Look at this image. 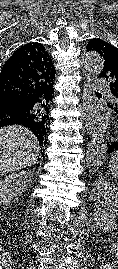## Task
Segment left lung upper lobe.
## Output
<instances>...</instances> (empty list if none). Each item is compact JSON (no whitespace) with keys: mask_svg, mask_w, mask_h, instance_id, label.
I'll list each match as a JSON object with an SVG mask.
<instances>
[{"mask_svg":"<svg viewBox=\"0 0 118 269\" xmlns=\"http://www.w3.org/2000/svg\"><path fill=\"white\" fill-rule=\"evenodd\" d=\"M87 51H96L104 59V67L99 77L109 79L110 89L115 100L108 103L114 111L118 109V50L111 44L101 39H91L86 47Z\"/></svg>","mask_w":118,"mask_h":269,"instance_id":"obj_1","label":"left lung upper lobe"}]
</instances>
